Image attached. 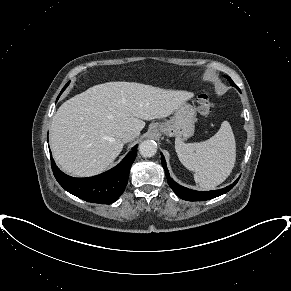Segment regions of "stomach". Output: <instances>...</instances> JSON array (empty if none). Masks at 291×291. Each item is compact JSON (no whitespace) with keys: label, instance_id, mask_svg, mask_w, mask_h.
Returning a JSON list of instances; mask_svg holds the SVG:
<instances>
[{"label":"stomach","instance_id":"stomach-1","mask_svg":"<svg viewBox=\"0 0 291 291\" xmlns=\"http://www.w3.org/2000/svg\"><path fill=\"white\" fill-rule=\"evenodd\" d=\"M195 121V109L191 105L183 103L175 110L170 120L158 124L157 129L167 136L185 140L193 135Z\"/></svg>","mask_w":291,"mask_h":291}]
</instances>
